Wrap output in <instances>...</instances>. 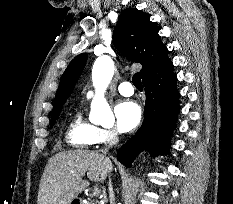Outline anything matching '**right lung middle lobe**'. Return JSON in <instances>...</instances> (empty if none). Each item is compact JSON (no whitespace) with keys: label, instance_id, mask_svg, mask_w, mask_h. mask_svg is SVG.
<instances>
[{"label":"right lung middle lobe","instance_id":"1","mask_svg":"<svg viewBox=\"0 0 233 204\" xmlns=\"http://www.w3.org/2000/svg\"><path fill=\"white\" fill-rule=\"evenodd\" d=\"M58 118V116L54 117V118H51V122H50V128H52V126L54 125L55 123V120Z\"/></svg>","mask_w":233,"mask_h":204}]
</instances>
